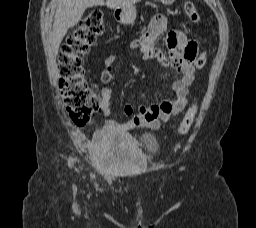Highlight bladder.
<instances>
[{
	"label": "bladder",
	"mask_w": 256,
	"mask_h": 228,
	"mask_svg": "<svg viewBox=\"0 0 256 228\" xmlns=\"http://www.w3.org/2000/svg\"><path fill=\"white\" fill-rule=\"evenodd\" d=\"M143 146L156 153L159 149L157 137L153 133H145ZM92 154L99 166L108 168V164L113 163L112 170L122 173L139 170L147 164V155L141 145L125 134L104 133L95 137Z\"/></svg>",
	"instance_id": "obj_1"
}]
</instances>
